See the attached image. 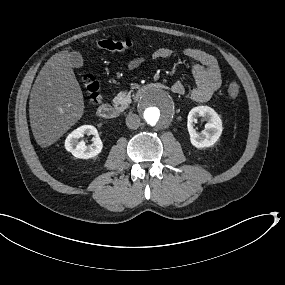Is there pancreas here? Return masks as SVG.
I'll return each instance as SVG.
<instances>
[{
    "instance_id": "obj_1",
    "label": "pancreas",
    "mask_w": 285,
    "mask_h": 285,
    "mask_svg": "<svg viewBox=\"0 0 285 285\" xmlns=\"http://www.w3.org/2000/svg\"><path fill=\"white\" fill-rule=\"evenodd\" d=\"M133 97H134V94L131 91H128V92L120 91L116 93L113 103L114 105L119 107L118 110L122 111L128 108V105L130 101H132Z\"/></svg>"
}]
</instances>
